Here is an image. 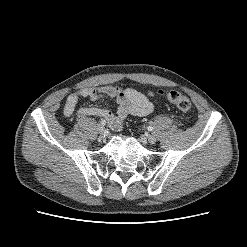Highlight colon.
Listing matches in <instances>:
<instances>
[{
  "mask_svg": "<svg viewBox=\"0 0 247 247\" xmlns=\"http://www.w3.org/2000/svg\"><path fill=\"white\" fill-rule=\"evenodd\" d=\"M159 94L165 96L170 104L183 112H187L191 109V102L185 95L177 91H159Z\"/></svg>",
  "mask_w": 247,
  "mask_h": 247,
  "instance_id": "1",
  "label": "colon"
}]
</instances>
